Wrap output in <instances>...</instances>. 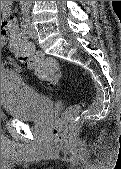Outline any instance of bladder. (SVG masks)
<instances>
[{
  "instance_id": "31cf9c89",
  "label": "bladder",
  "mask_w": 121,
  "mask_h": 169,
  "mask_svg": "<svg viewBox=\"0 0 121 169\" xmlns=\"http://www.w3.org/2000/svg\"><path fill=\"white\" fill-rule=\"evenodd\" d=\"M1 104L7 116L22 121L42 119L53 108V101L29 86L12 70L1 73Z\"/></svg>"
}]
</instances>
